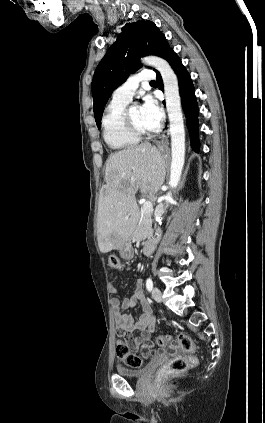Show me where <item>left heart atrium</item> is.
Listing matches in <instances>:
<instances>
[{"instance_id":"left-heart-atrium-1","label":"left heart atrium","mask_w":265,"mask_h":423,"mask_svg":"<svg viewBox=\"0 0 265 423\" xmlns=\"http://www.w3.org/2000/svg\"><path fill=\"white\" fill-rule=\"evenodd\" d=\"M140 110L143 119L152 129L158 127L163 118V112L156 100L150 97L146 98Z\"/></svg>"}]
</instances>
